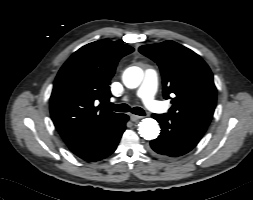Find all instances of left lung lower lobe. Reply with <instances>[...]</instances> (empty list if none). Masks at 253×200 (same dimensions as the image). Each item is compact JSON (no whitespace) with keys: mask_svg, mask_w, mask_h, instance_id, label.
Instances as JSON below:
<instances>
[{"mask_svg":"<svg viewBox=\"0 0 253 200\" xmlns=\"http://www.w3.org/2000/svg\"><path fill=\"white\" fill-rule=\"evenodd\" d=\"M161 133L150 142L151 150L165 158L182 156L191 151L202 138L207 126L172 114H153Z\"/></svg>","mask_w":253,"mask_h":200,"instance_id":"left-lung-lower-lobe-1","label":"left lung lower lobe"}]
</instances>
